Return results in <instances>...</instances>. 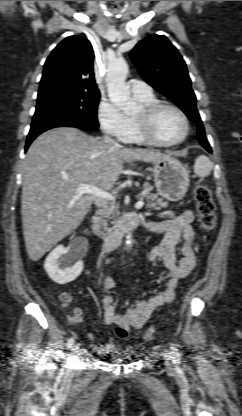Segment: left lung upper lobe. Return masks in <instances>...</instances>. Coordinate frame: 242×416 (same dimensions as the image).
Returning a JSON list of instances; mask_svg holds the SVG:
<instances>
[{"mask_svg":"<svg viewBox=\"0 0 242 416\" xmlns=\"http://www.w3.org/2000/svg\"><path fill=\"white\" fill-rule=\"evenodd\" d=\"M130 56L143 79L196 123L200 143L207 142L186 63L176 47L165 36L153 34L141 40Z\"/></svg>","mask_w":242,"mask_h":416,"instance_id":"5c2ea615","label":"left lung upper lobe"}]
</instances>
